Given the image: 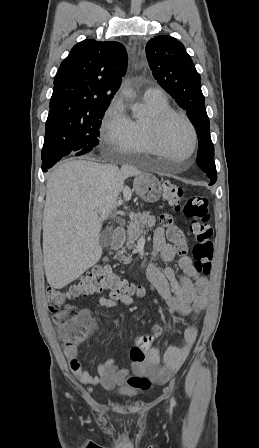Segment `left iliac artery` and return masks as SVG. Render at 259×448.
Here are the masks:
<instances>
[{
	"label": "left iliac artery",
	"mask_w": 259,
	"mask_h": 448,
	"mask_svg": "<svg viewBox=\"0 0 259 448\" xmlns=\"http://www.w3.org/2000/svg\"><path fill=\"white\" fill-rule=\"evenodd\" d=\"M175 405H176V401H175L174 398H172V399H171V406L173 407V406H175Z\"/></svg>",
	"instance_id": "obj_1"
}]
</instances>
